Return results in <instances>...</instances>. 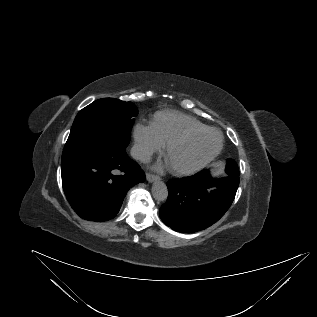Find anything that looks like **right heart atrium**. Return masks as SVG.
Segmentation results:
<instances>
[{"instance_id":"d8ad5b80","label":"right heart atrium","mask_w":317,"mask_h":317,"mask_svg":"<svg viewBox=\"0 0 317 317\" xmlns=\"http://www.w3.org/2000/svg\"><path fill=\"white\" fill-rule=\"evenodd\" d=\"M133 154L139 160H147L162 149V145L154 135L151 126L142 122L133 129Z\"/></svg>"}]
</instances>
